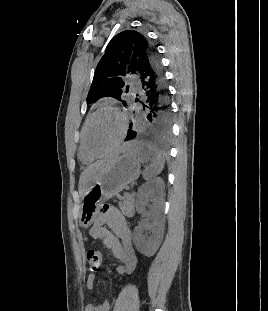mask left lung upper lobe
Instances as JSON below:
<instances>
[{
	"label": "left lung upper lobe",
	"mask_w": 268,
	"mask_h": 311,
	"mask_svg": "<svg viewBox=\"0 0 268 311\" xmlns=\"http://www.w3.org/2000/svg\"><path fill=\"white\" fill-rule=\"evenodd\" d=\"M149 49L148 40L135 30H126L114 36L96 67L87 103L110 96L126 107L128 103L122 99L125 87L129 88L125 85V76L138 74L140 63L149 59Z\"/></svg>",
	"instance_id": "obj_1"
}]
</instances>
